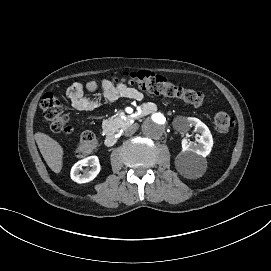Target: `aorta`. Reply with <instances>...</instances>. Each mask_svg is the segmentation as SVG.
I'll list each match as a JSON object with an SVG mask.
<instances>
[{"label": "aorta", "instance_id": "aorta-1", "mask_svg": "<svg viewBox=\"0 0 271 271\" xmlns=\"http://www.w3.org/2000/svg\"><path fill=\"white\" fill-rule=\"evenodd\" d=\"M168 121L163 113L157 112L147 117L142 124V132L146 137L158 139L166 128Z\"/></svg>", "mask_w": 271, "mask_h": 271}]
</instances>
